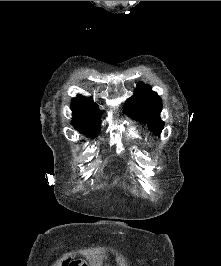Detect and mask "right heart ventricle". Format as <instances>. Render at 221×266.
I'll return each mask as SVG.
<instances>
[{
	"mask_svg": "<svg viewBox=\"0 0 221 266\" xmlns=\"http://www.w3.org/2000/svg\"><path fill=\"white\" fill-rule=\"evenodd\" d=\"M126 135L131 140H141L142 139L139 130L134 125H130L127 127Z\"/></svg>",
	"mask_w": 221,
	"mask_h": 266,
	"instance_id": "e07e8e85",
	"label": "right heart ventricle"
}]
</instances>
